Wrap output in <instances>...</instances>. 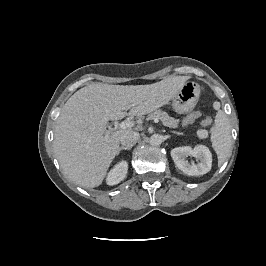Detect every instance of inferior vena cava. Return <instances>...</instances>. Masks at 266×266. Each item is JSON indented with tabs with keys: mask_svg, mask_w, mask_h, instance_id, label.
<instances>
[{
	"mask_svg": "<svg viewBox=\"0 0 266 266\" xmlns=\"http://www.w3.org/2000/svg\"><path fill=\"white\" fill-rule=\"evenodd\" d=\"M139 137L140 135L138 132L128 131L121 136L120 142L123 147L131 149L137 143Z\"/></svg>",
	"mask_w": 266,
	"mask_h": 266,
	"instance_id": "1",
	"label": "inferior vena cava"
}]
</instances>
